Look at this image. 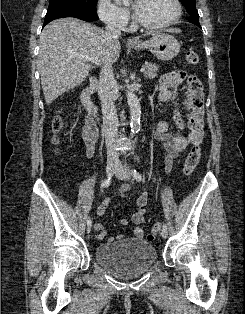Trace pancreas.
Instances as JSON below:
<instances>
[{
  "instance_id": "cf45deb5",
  "label": "pancreas",
  "mask_w": 245,
  "mask_h": 314,
  "mask_svg": "<svg viewBox=\"0 0 245 314\" xmlns=\"http://www.w3.org/2000/svg\"><path fill=\"white\" fill-rule=\"evenodd\" d=\"M145 68L144 77L146 79H153L157 76V73L159 71V66L154 63H145L143 65Z\"/></svg>"
}]
</instances>
